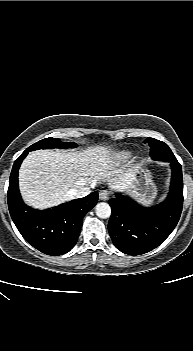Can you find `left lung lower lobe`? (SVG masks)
Segmentation results:
<instances>
[{"instance_id": "obj_1", "label": "left lung lower lobe", "mask_w": 193, "mask_h": 351, "mask_svg": "<svg viewBox=\"0 0 193 351\" xmlns=\"http://www.w3.org/2000/svg\"><path fill=\"white\" fill-rule=\"evenodd\" d=\"M167 162L172 168L171 186L160 205L146 208L119 194L109 200V233L115 247L125 254L140 255L155 249L179 221L183 206L182 168L176 158Z\"/></svg>"}]
</instances>
